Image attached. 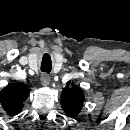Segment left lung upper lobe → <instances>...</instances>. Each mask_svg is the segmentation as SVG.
<instances>
[{"mask_svg": "<svg viewBox=\"0 0 130 130\" xmlns=\"http://www.w3.org/2000/svg\"><path fill=\"white\" fill-rule=\"evenodd\" d=\"M85 97L82 89L69 81L61 94V105L63 111L68 115L75 117L83 107Z\"/></svg>", "mask_w": 130, "mask_h": 130, "instance_id": "obj_1", "label": "left lung upper lobe"}]
</instances>
